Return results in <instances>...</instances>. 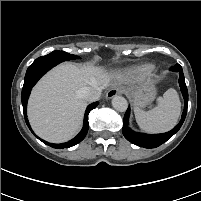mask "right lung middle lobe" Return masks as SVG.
<instances>
[{
  "label": "right lung middle lobe",
  "instance_id": "1",
  "mask_svg": "<svg viewBox=\"0 0 201 201\" xmlns=\"http://www.w3.org/2000/svg\"><path fill=\"white\" fill-rule=\"evenodd\" d=\"M47 56H53V57L57 56L58 58H63L65 61L80 58V57H78L76 55H72V54L66 53L64 51H53L50 54H48Z\"/></svg>",
  "mask_w": 201,
  "mask_h": 201
}]
</instances>
